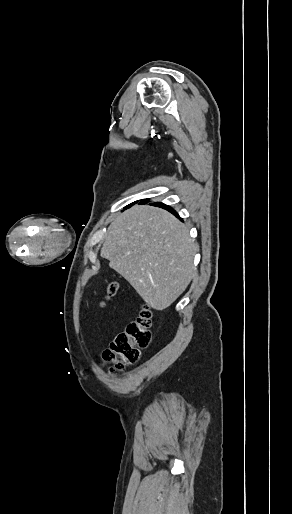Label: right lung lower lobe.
<instances>
[{"instance_id":"obj_1","label":"right lung lower lobe","mask_w":292,"mask_h":514,"mask_svg":"<svg viewBox=\"0 0 292 514\" xmlns=\"http://www.w3.org/2000/svg\"><path fill=\"white\" fill-rule=\"evenodd\" d=\"M148 201H149V199H145L143 202H141V204L146 203ZM151 205L162 207V208L168 210L169 212H171L172 214H174L176 217H178L180 219L178 214L171 207H168L167 205H165L163 203H153V204L151 203Z\"/></svg>"}]
</instances>
